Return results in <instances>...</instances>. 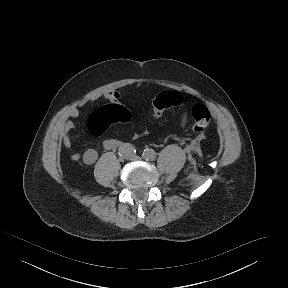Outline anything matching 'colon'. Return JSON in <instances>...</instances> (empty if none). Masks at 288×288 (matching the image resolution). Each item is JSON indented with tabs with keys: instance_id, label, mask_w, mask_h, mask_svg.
Masks as SVG:
<instances>
[{
	"instance_id": "colon-1",
	"label": "colon",
	"mask_w": 288,
	"mask_h": 288,
	"mask_svg": "<svg viewBox=\"0 0 288 288\" xmlns=\"http://www.w3.org/2000/svg\"><path fill=\"white\" fill-rule=\"evenodd\" d=\"M181 102V97L177 93L167 92L158 97L155 104L153 115L156 118L162 116L164 110L170 109ZM193 126L194 133L201 134L210 123L211 117L206 107H196L193 112ZM128 112L117 104H109L98 107L93 111L88 120V128L94 137H99L112 125L119 122H126L128 120ZM85 153V156L89 155Z\"/></svg>"
}]
</instances>
